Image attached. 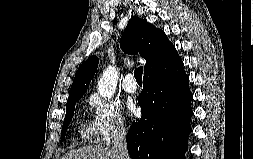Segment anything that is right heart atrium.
Here are the masks:
<instances>
[{
	"instance_id": "1",
	"label": "right heart atrium",
	"mask_w": 253,
	"mask_h": 159,
	"mask_svg": "<svg viewBox=\"0 0 253 159\" xmlns=\"http://www.w3.org/2000/svg\"><path fill=\"white\" fill-rule=\"evenodd\" d=\"M89 103L93 110L92 125L100 143L108 144L125 133L126 123L115 103L104 100L97 94L90 96Z\"/></svg>"
}]
</instances>
